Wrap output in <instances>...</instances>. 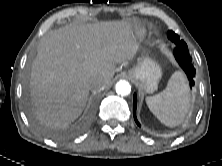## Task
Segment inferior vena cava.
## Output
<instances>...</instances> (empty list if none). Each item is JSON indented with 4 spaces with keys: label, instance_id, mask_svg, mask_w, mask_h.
I'll use <instances>...</instances> for the list:
<instances>
[{
    "label": "inferior vena cava",
    "instance_id": "obj_1",
    "mask_svg": "<svg viewBox=\"0 0 222 166\" xmlns=\"http://www.w3.org/2000/svg\"><path fill=\"white\" fill-rule=\"evenodd\" d=\"M104 86H105V84H104V82H102V81H96V82L94 83V88L97 89V90L103 89Z\"/></svg>",
    "mask_w": 222,
    "mask_h": 166
}]
</instances>
